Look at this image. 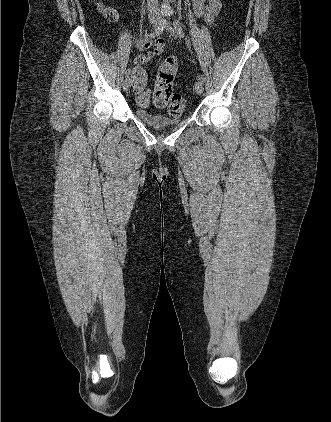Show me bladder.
<instances>
[{
  "instance_id": "obj_1",
  "label": "bladder",
  "mask_w": 331,
  "mask_h": 422,
  "mask_svg": "<svg viewBox=\"0 0 331 422\" xmlns=\"http://www.w3.org/2000/svg\"><path fill=\"white\" fill-rule=\"evenodd\" d=\"M135 114L142 122L154 128L177 126L184 119L183 114L169 116L160 112H152L142 108H136Z\"/></svg>"
}]
</instances>
